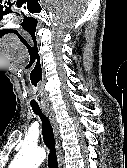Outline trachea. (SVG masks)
<instances>
[{
	"label": "trachea",
	"mask_w": 127,
	"mask_h": 168,
	"mask_svg": "<svg viewBox=\"0 0 127 168\" xmlns=\"http://www.w3.org/2000/svg\"><path fill=\"white\" fill-rule=\"evenodd\" d=\"M32 110L37 116L40 117V119L42 121L43 139H44L45 145L49 149L48 167L49 168H58L53 127H52L48 117H46L42 113L39 106H32Z\"/></svg>",
	"instance_id": "3493384b"
}]
</instances>
